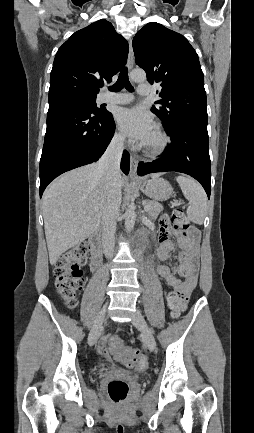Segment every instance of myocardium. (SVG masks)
Here are the masks:
<instances>
[{
	"label": "myocardium",
	"mask_w": 254,
	"mask_h": 433,
	"mask_svg": "<svg viewBox=\"0 0 254 433\" xmlns=\"http://www.w3.org/2000/svg\"><path fill=\"white\" fill-rule=\"evenodd\" d=\"M154 132L159 139L158 144H156L154 146H149L146 144L143 145L144 152L146 154H148L149 156H153V157L159 156L163 152H165V150L167 149V147L169 146V143H170L169 136L159 125H157L155 127Z\"/></svg>",
	"instance_id": "obj_1"
}]
</instances>
